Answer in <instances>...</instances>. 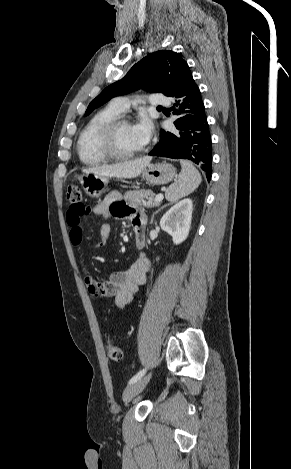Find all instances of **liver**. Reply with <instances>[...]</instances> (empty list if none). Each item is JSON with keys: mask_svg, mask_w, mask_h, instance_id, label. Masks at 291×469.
<instances>
[{"mask_svg": "<svg viewBox=\"0 0 291 469\" xmlns=\"http://www.w3.org/2000/svg\"><path fill=\"white\" fill-rule=\"evenodd\" d=\"M152 160L151 156H144L139 159L121 162L113 165L96 166L83 169L85 174H95L105 177L135 178L139 176Z\"/></svg>", "mask_w": 291, "mask_h": 469, "instance_id": "liver-1", "label": "liver"}]
</instances>
